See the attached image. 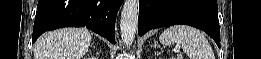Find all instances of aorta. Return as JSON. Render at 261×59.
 <instances>
[{"label": "aorta", "mask_w": 261, "mask_h": 59, "mask_svg": "<svg viewBox=\"0 0 261 59\" xmlns=\"http://www.w3.org/2000/svg\"><path fill=\"white\" fill-rule=\"evenodd\" d=\"M139 0H125L120 19L122 42L129 47L135 39L138 26Z\"/></svg>", "instance_id": "762f6f07"}]
</instances>
